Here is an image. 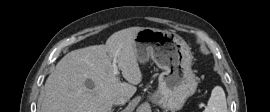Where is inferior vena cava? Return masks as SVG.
<instances>
[{
	"label": "inferior vena cava",
	"mask_w": 270,
	"mask_h": 112,
	"mask_svg": "<svg viewBox=\"0 0 270 112\" xmlns=\"http://www.w3.org/2000/svg\"><path fill=\"white\" fill-rule=\"evenodd\" d=\"M126 102H127V98L124 96H116L112 101L114 105L125 104Z\"/></svg>",
	"instance_id": "obj_1"
}]
</instances>
